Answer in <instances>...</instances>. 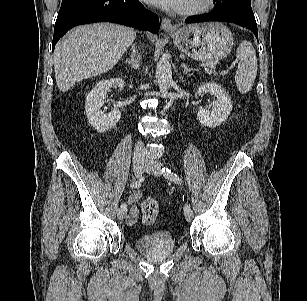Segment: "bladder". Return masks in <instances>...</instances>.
Masks as SVG:
<instances>
[{"instance_id":"obj_1","label":"bladder","mask_w":307,"mask_h":301,"mask_svg":"<svg viewBox=\"0 0 307 301\" xmlns=\"http://www.w3.org/2000/svg\"><path fill=\"white\" fill-rule=\"evenodd\" d=\"M138 250L151 259H158L171 254L175 241L167 232H157L141 236L136 241Z\"/></svg>"}]
</instances>
